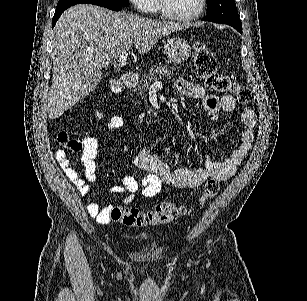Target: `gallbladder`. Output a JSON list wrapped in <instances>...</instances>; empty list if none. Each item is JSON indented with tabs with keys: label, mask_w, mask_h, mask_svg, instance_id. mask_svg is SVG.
<instances>
[{
	"label": "gallbladder",
	"mask_w": 307,
	"mask_h": 301,
	"mask_svg": "<svg viewBox=\"0 0 307 301\" xmlns=\"http://www.w3.org/2000/svg\"><path fill=\"white\" fill-rule=\"evenodd\" d=\"M104 76H109L108 72H105Z\"/></svg>",
	"instance_id": "obj_1"
}]
</instances>
